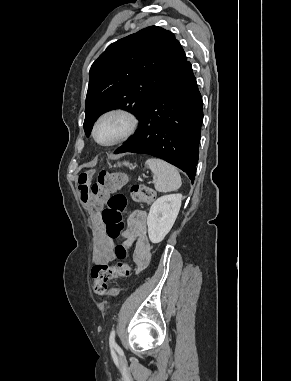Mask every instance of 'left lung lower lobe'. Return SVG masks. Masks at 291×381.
<instances>
[{"label": "left lung lower lobe", "instance_id": "1", "mask_svg": "<svg viewBox=\"0 0 291 381\" xmlns=\"http://www.w3.org/2000/svg\"><path fill=\"white\" fill-rule=\"evenodd\" d=\"M203 121L202 98L186 60L148 100L137 132L115 154L132 152L163 159L194 181Z\"/></svg>", "mask_w": 291, "mask_h": 381}]
</instances>
